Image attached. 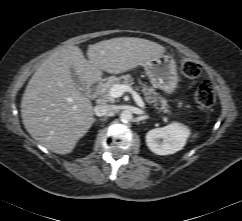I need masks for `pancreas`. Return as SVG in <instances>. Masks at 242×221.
Segmentation results:
<instances>
[{
  "label": "pancreas",
  "mask_w": 242,
  "mask_h": 221,
  "mask_svg": "<svg viewBox=\"0 0 242 221\" xmlns=\"http://www.w3.org/2000/svg\"><path fill=\"white\" fill-rule=\"evenodd\" d=\"M124 84L132 86L134 84L133 79L130 75H124L121 77L111 76L107 78L106 82L100 84L99 86V97L102 102L115 103V98L111 97L110 89L114 85ZM142 92L145 96V101L149 104H153L155 109L159 112H164L170 114V106L167 103V100L164 99L159 93L155 91L154 88L147 86L146 84L142 85Z\"/></svg>",
  "instance_id": "pancreas-1"
}]
</instances>
